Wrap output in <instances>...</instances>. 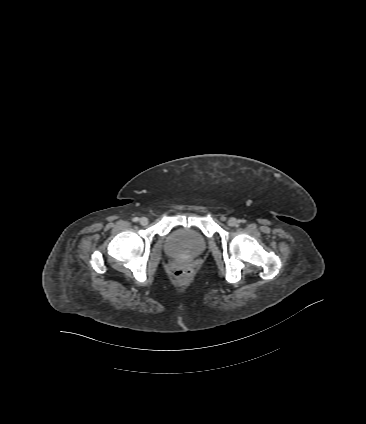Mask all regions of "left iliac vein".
Returning <instances> with one entry per match:
<instances>
[{
    "label": "left iliac vein",
    "instance_id": "4c4485c4",
    "mask_svg": "<svg viewBox=\"0 0 366 424\" xmlns=\"http://www.w3.org/2000/svg\"><path fill=\"white\" fill-rule=\"evenodd\" d=\"M228 225L231 226V227H235V226L238 225V221L235 218L232 217L228 220Z\"/></svg>",
    "mask_w": 366,
    "mask_h": 424
}]
</instances>
